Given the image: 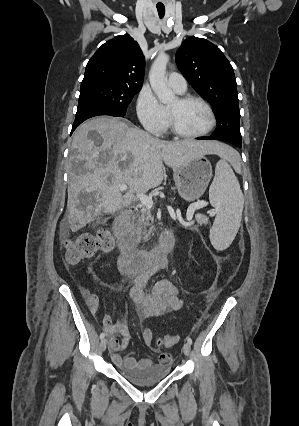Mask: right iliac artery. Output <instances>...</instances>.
Here are the masks:
<instances>
[{
    "instance_id": "obj_1",
    "label": "right iliac artery",
    "mask_w": 299,
    "mask_h": 426,
    "mask_svg": "<svg viewBox=\"0 0 299 426\" xmlns=\"http://www.w3.org/2000/svg\"><path fill=\"white\" fill-rule=\"evenodd\" d=\"M104 337H105V333L103 332L100 334V339H103Z\"/></svg>"
}]
</instances>
